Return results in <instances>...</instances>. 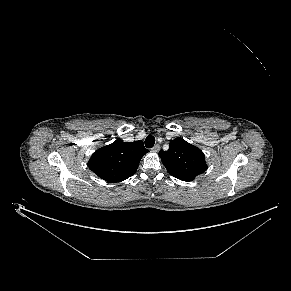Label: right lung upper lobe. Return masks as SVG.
<instances>
[{"label": "right lung upper lobe", "mask_w": 291, "mask_h": 291, "mask_svg": "<svg viewBox=\"0 0 291 291\" xmlns=\"http://www.w3.org/2000/svg\"><path fill=\"white\" fill-rule=\"evenodd\" d=\"M147 152L143 141L123 142L117 139L94 152L88 167L107 182H121L136 172L141 158Z\"/></svg>", "instance_id": "right-lung-upper-lobe-1"}]
</instances>
